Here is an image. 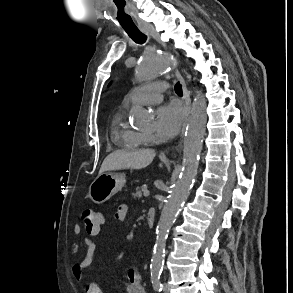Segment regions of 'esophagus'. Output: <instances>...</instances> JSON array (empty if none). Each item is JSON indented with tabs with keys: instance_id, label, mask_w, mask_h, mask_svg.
<instances>
[{
	"instance_id": "obj_1",
	"label": "esophagus",
	"mask_w": 293,
	"mask_h": 293,
	"mask_svg": "<svg viewBox=\"0 0 293 293\" xmlns=\"http://www.w3.org/2000/svg\"><path fill=\"white\" fill-rule=\"evenodd\" d=\"M140 29H141V31L143 33L152 36L159 43H162L161 40H160V35L156 32V30L154 29V27L152 25L144 24L143 26H141ZM175 74H176V77L178 78V80L180 81V83L182 85L183 97H184V100H185V104H186V108H187V117H188V115L190 113V108H191V100H190L189 92L187 90L185 80L183 79V77L181 76V74L179 73L178 70H176ZM183 131H184V128H183ZM183 131H182V133H183Z\"/></svg>"
}]
</instances>
